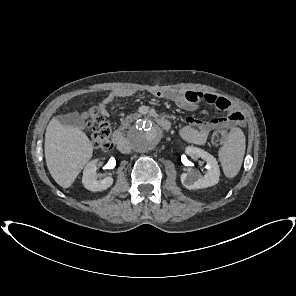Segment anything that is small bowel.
I'll use <instances>...</instances> for the list:
<instances>
[{
    "instance_id": "obj_1",
    "label": "small bowel",
    "mask_w": 296,
    "mask_h": 296,
    "mask_svg": "<svg viewBox=\"0 0 296 296\" xmlns=\"http://www.w3.org/2000/svg\"><path fill=\"white\" fill-rule=\"evenodd\" d=\"M132 91L126 89H116L108 93L99 103L102 114L107 115V106L117 99L127 97ZM153 94L158 98H163L174 102L179 108L193 111L199 108L201 103H207L222 110L225 116L203 121L189 117L186 125L180 130V137L192 144L202 145L206 142L209 133L217 128H229L235 125H243L245 118L243 113L228 99L209 93L199 91H178V90H156Z\"/></svg>"
}]
</instances>
